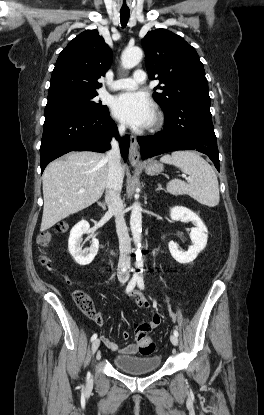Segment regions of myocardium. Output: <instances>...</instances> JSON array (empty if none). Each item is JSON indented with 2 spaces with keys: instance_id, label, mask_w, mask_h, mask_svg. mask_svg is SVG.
<instances>
[{
  "instance_id": "1",
  "label": "myocardium",
  "mask_w": 264,
  "mask_h": 415,
  "mask_svg": "<svg viewBox=\"0 0 264 415\" xmlns=\"http://www.w3.org/2000/svg\"><path fill=\"white\" fill-rule=\"evenodd\" d=\"M163 123V116L160 111H155L152 121L148 125V130L154 131L159 129Z\"/></svg>"
}]
</instances>
